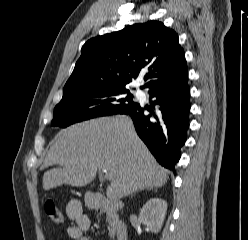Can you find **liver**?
Returning a JSON list of instances; mask_svg holds the SVG:
<instances>
[{"mask_svg":"<svg viewBox=\"0 0 248 240\" xmlns=\"http://www.w3.org/2000/svg\"><path fill=\"white\" fill-rule=\"evenodd\" d=\"M59 165L43 176V189L62 184H89L98 169L112 174L106 195L117 201L145 188L162 187L168 171L158 165L137 136L127 116L102 117L61 130L50 147L44 167Z\"/></svg>","mask_w":248,"mask_h":240,"instance_id":"liver-1","label":"liver"}]
</instances>
